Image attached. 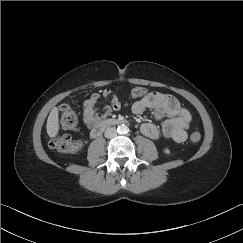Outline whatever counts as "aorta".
I'll use <instances>...</instances> for the list:
<instances>
[{"instance_id": "aorta-1", "label": "aorta", "mask_w": 243, "mask_h": 243, "mask_svg": "<svg viewBox=\"0 0 243 243\" xmlns=\"http://www.w3.org/2000/svg\"><path fill=\"white\" fill-rule=\"evenodd\" d=\"M117 132L120 134H125L128 132V127L125 124L119 125L117 128Z\"/></svg>"}]
</instances>
